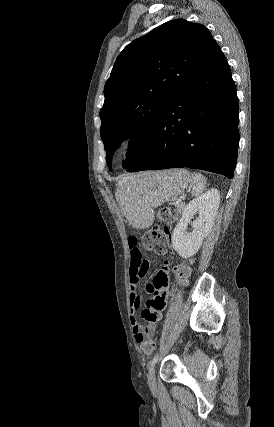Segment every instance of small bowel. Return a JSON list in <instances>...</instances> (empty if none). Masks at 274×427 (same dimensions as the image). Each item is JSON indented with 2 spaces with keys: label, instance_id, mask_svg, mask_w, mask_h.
I'll use <instances>...</instances> for the list:
<instances>
[{
  "label": "small bowel",
  "instance_id": "obj_1",
  "mask_svg": "<svg viewBox=\"0 0 274 427\" xmlns=\"http://www.w3.org/2000/svg\"><path fill=\"white\" fill-rule=\"evenodd\" d=\"M128 251L131 252L130 256V303H131V323L135 334V340L141 345L144 338H151V334L145 333L141 327H150L151 320H163V311H142L141 318L137 321L135 314L141 307V295L137 291V286L143 279L147 272L150 262L148 259L142 257L138 246L131 244L128 246ZM160 257H165L168 251H157ZM173 262V255L169 254L166 257V264L162 269H156L154 275L147 281V291L149 294H154L156 298H160L161 301H144V310H165L167 293L166 288L168 284H172L174 278L172 275H168V266ZM155 332L153 331H149Z\"/></svg>",
  "mask_w": 274,
  "mask_h": 427
}]
</instances>
